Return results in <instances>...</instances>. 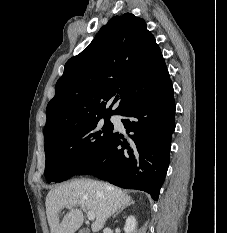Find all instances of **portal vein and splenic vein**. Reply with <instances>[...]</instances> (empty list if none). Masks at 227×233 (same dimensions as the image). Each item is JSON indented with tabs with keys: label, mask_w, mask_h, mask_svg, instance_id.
Returning <instances> with one entry per match:
<instances>
[{
	"label": "portal vein and splenic vein",
	"mask_w": 227,
	"mask_h": 233,
	"mask_svg": "<svg viewBox=\"0 0 227 233\" xmlns=\"http://www.w3.org/2000/svg\"><path fill=\"white\" fill-rule=\"evenodd\" d=\"M81 209L86 212V209L84 207H81ZM87 217H88L89 220H94L95 219V214L93 212L88 211L87 212Z\"/></svg>",
	"instance_id": "1"
}]
</instances>
